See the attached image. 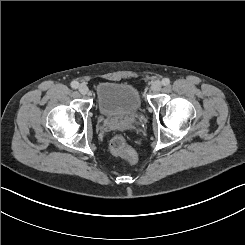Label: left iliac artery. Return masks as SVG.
Here are the masks:
<instances>
[{
	"mask_svg": "<svg viewBox=\"0 0 245 245\" xmlns=\"http://www.w3.org/2000/svg\"><path fill=\"white\" fill-rule=\"evenodd\" d=\"M162 84H163L164 86L169 85V84H170V79H169V78H163V79H162Z\"/></svg>",
	"mask_w": 245,
	"mask_h": 245,
	"instance_id": "left-iliac-artery-1",
	"label": "left iliac artery"
}]
</instances>
